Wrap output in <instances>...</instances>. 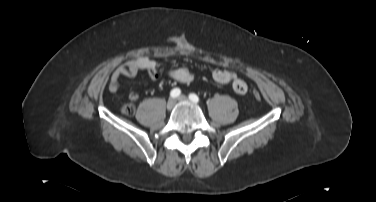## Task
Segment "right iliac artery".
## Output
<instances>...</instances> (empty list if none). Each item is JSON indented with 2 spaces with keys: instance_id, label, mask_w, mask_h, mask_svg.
Wrapping results in <instances>:
<instances>
[{
  "instance_id": "1",
  "label": "right iliac artery",
  "mask_w": 376,
  "mask_h": 202,
  "mask_svg": "<svg viewBox=\"0 0 376 202\" xmlns=\"http://www.w3.org/2000/svg\"><path fill=\"white\" fill-rule=\"evenodd\" d=\"M181 94V90L179 88H174L171 92H170V96L172 98H176L178 97L179 95Z\"/></svg>"
}]
</instances>
